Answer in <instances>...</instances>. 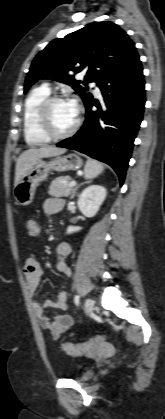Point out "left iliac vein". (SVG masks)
<instances>
[{"label": "left iliac vein", "instance_id": "left-iliac-vein-1", "mask_svg": "<svg viewBox=\"0 0 165 419\" xmlns=\"http://www.w3.org/2000/svg\"><path fill=\"white\" fill-rule=\"evenodd\" d=\"M94 310V301L91 298H87L85 302V311L87 314H91Z\"/></svg>", "mask_w": 165, "mask_h": 419}]
</instances>
